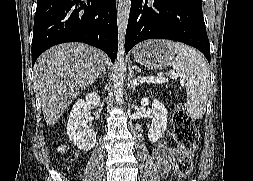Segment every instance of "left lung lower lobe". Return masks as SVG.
Returning <instances> with one entry per match:
<instances>
[{
	"label": "left lung lower lobe",
	"instance_id": "obj_1",
	"mask_svg": "<svg viewBox=\"0 0 253 181\" xmlns=\"http://www.w3.org/2000/svg\"><path fill=\"white\" fill-rule=\"evenodd\" d=\"M147 39L183 42L200 50L210 63L202 0H131L125 51Z\"/></svg>",
	"mask_w": 253,
	"mask_h": 181
}]
</instances>
